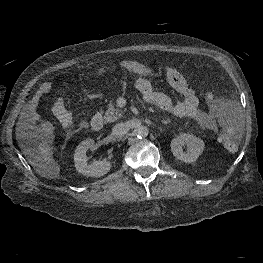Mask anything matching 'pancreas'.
<instances>
[{
  "mask_svg": "<svg viewBox=\"0 0 263 263\" xmlns=\"http://www.w3.org/2000/svg\"><path fill=\"white\" fill-rule=\"evenodd\" d=\"M122 117V112L114 105L113 102H110L107 107V111L105 112L104 120L106 122H114Z\"/></svg>",
  "mask_w": 263,
  "mask_h": 263,
  "instance_id": "pancreas-1",
  "label": "pancreas"
}]
</instances>
